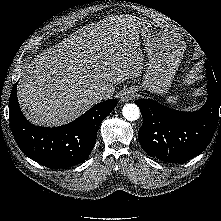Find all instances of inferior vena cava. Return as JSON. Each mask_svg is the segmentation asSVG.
Instances as JSON below:
<instances>
[{"instance_id": "602c4592", "label": "inferior vena cava", "mask_w": 221, "mask_h": 221, "mask_svg": "<svg viewBox=\"0 0 221 221\" xmlns=\"http://www.w3.org/2000/svg\"><path fill=\"white\" fill-rule=\"evenodd\" d=\"M91 96L97 101H101L102 99L109 98L108 92L105 91L104 89H98V90L93 91L91 93Z\"/></svg>"}]
</instances>
